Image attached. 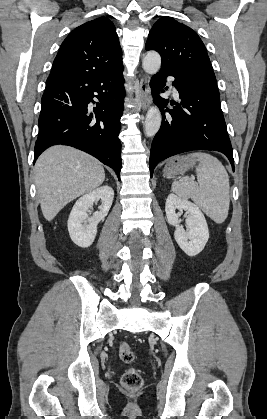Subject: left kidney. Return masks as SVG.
<instances>
[{
	"instance_id": "left-kidney-1",
	"label": "left kidney",
	"mask_w": 267,
	"mask_h": 419,
	"mask_svg": "<svg viewBox=\"0 0 267 419\" xmlns=\"http://www.w3.org/2000/svg\"><path fill=\"white\" fill-rule=\"evenodd\" d=\"M176 209L185 210L188 213L186 218L187 231L180 226L179 214ZM165 212L169 224L175 226L174 238L179 247L188 255L196 256L205 247L209 230L206 219L200 208L185 199L174 194H169L165 204Z\"/></svg>"
}]
</instances>
